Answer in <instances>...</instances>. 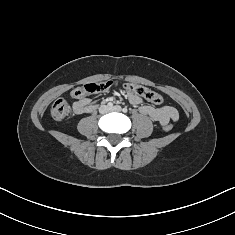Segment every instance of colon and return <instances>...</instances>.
Masks as SVG:
<instances>
[{"label": "colon", "instance_id": "1", "mask_svg": "<svg viewBox=\"0 0 235 235\" xmlns=\"http://www.w3.org/2000/svg\"><path fill=\"white\" fill-rule=\"evenodd\" d=\"M113 86H115V82L112 80L89 82L73 89L71 91V96L75 99H81L89 94L105 92L111 89ZM124 89L127 92L138 95L139 97H142L153 104L159 105L164 101L161 94L142 85L126 83L124 84ZM69 113L70 106L65 99H57L51 107V114L55 120H63L69 115ZM164 129L166 131H170L172 129V125L168 123L165 125Z\"/></svg>", "mask_w": 235, "mask_h": 235}]
</instances>
